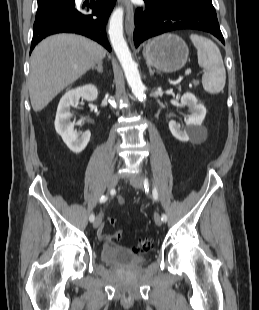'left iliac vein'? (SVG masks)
Wrapping results in <instances>:
<instances>
[{
    "label": "left iliac vein",
    "instance_id": "4c4485c4",
    "mask_svg": "<svg viewBox=\"0 0 259 310\" xmlns=\"http://www.w3.org/2000/svg\"><path fill=\"white\" fill-rule=\"evenodd\" d=\"M143 182L144 179L142 176H134L130 179L131 185L136 189H142L143 188ZM154 221L157 226H161L162 220L158 213L154 214Z\"/></svg>",
    "mask_w": 259,
    "mask_h": 310
}]
</instances>
